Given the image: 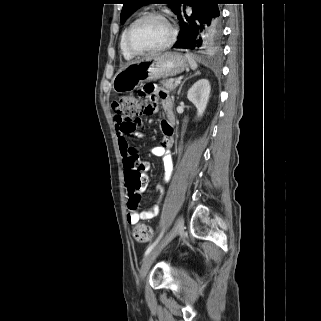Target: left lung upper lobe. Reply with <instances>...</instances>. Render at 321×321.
I'll list each match as a JSON object with an SVG mask.
<instances>
[{"mask_svg":"<svg viewBox=\"0 0 321 321\" xmlns=\"http://www.w3.org/2000/svg\"><path fill=\"white\" fill-rule=\"evenodd\" d=\"M162 1L169 4L172 11L177 14L184 0H123V8L120 15L121 23L123 24L139 7Z\"/></svg>","mask_w":321,"mask_h":321,"instance_id":"left-lung-upper-lobe-1","label":"left lung upper lobe"}]
</instances>
